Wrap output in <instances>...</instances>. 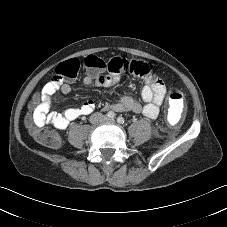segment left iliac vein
<instances>
[{"label": "left iliac vein", "instance_id": "4c4485c4", "mask_svg": "<svg viewBox=\"0 0 227 227\" xmlns=\"http://www.w3.org/2000/svg\"><path fill=\"white\" fill-rule=\"evenodd\" d=\"M106 122H108V123H114L115 121H114V119H106Z\"/></svg>", "mask_w": 227, "mask_h": 227}]
</instances>
